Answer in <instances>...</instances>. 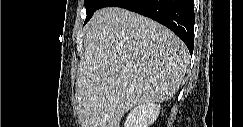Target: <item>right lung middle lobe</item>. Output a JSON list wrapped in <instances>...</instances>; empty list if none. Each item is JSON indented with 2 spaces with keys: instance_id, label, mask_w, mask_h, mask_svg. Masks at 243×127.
I'll return each mask as SVG.
<instances>
[{
  "instance_id": "obj_1",
  "label": "right lung middle lobe",
  "mask_w": 243,
  "mask_h": 127,
  "mask_svg": "<svg viewBox=\"0 0 243 127\" xmlns=\"http://www.w3.org/2000/svg\"><path fill=\"white\" fill-rule=\"evenodd\" d=\"M104 1L105 0H84V5L86 8V14H87L84 24H86L91 19V17L93 16L94 12L97 9H100V7L104 3Z\"/></svg>"
}]
</instances>
